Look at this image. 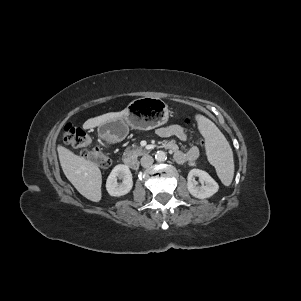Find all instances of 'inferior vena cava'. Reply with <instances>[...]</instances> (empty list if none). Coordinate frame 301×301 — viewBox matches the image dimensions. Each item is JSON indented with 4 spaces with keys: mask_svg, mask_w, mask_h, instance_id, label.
Segmentation results:
<instances>
[{
    "mask_svg": "<svg viewBox=\"0 0 301 301\" xmlns=\"http://www.w3.org/2000/svg\"><path fill=\"white\" fill-rule=\"evenodd\" d=\"M153 161H154V159L150 155H144L140 160L141 165L145 168L151 166L153 164Z\"/></svg>",
    "mask_w": 301,
    "mask_h": 301,
    "instance_id": "602c4592",
    "label": "inferior vena cava"
}]
</instances>
